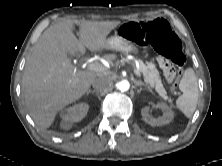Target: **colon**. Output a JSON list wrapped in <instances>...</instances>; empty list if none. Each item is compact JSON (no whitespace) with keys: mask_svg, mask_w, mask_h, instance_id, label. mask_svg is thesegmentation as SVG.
Wrapping results in <instances>:
<instances>
[{"mask_svg":"<svg viewBox=\"0 0 222 166\" xmlns=\"http://www.w3.org/2000/svg\"><path fill=\"white\" fill-rule=\"evenodd\" d=\"M119 34L139 45H151L161 54L160 67L169 83L176 82L183 72L186 57L180 39L167 21L129 22L119 29Z\"/></svg>","mask_w":222,"mask_h":166,"instance_id":"1","label":"colon"}]
</instances>
